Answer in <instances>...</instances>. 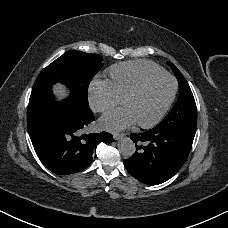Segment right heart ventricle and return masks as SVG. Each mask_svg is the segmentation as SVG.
<instances>
[{"instance_id": "e07e8e85", "label": "right heart ventricle", "mask_w": 228, "mask_h": 228, "mask_svg": "<svg viewBox=\"0 0 228 228\" xmlns=\"http://www.w3.org/2000/svg\"><path fill=\"white\" fill-rule=\"evenodd\" d=\"M165 71L156 64L146 62H127L114 66L110 75L118 95L125 98L144 79L162 74Z\"/></svg>"}]
</instances>
